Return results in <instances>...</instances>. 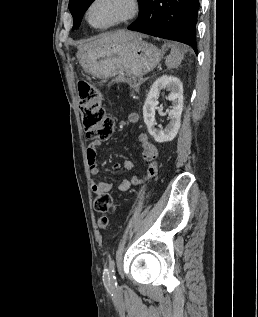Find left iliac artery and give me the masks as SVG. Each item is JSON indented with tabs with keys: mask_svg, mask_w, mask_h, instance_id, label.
<instances>
[{
	"mask_svg": "<svg viewBox=\"0 0 258 317\" xmlns=\"http://www.w3.org/2000/svg\"><path fill=\"white\" fill-rule=\"evenodd\" d=\"M109 271H110V277H111V287L108 289L109 293H117L119 291V287L117 285V279H116V271H115V261L112 259L109 262Z\"/></svg>",
	"mask_w": 258,
	"mask_h": 317,
	"instance_id": "left-iliac-artery-1",
	"label": "left iliac artery"
}]
</instances>
